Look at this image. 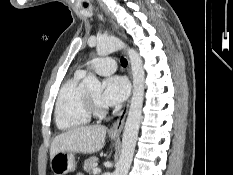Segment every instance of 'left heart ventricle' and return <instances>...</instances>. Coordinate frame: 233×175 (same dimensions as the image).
Returning a JSON list of instances; mask_svg holds the SVG:
<instances>
[{
	"label": "left heart ventricle",
	"mask_w": 233,
	"mask_h": 175,
	"mask_svg": "<svg viewBox=\"0 0 233 175\" xmlns=\"http://www.w3.org/2000/svg\"><path fill=\"white\" fill-rule=\"evenodd\" d=\"M90 96V98H92L94 101L101 103V92L97 91V92H92L88 94Z\"/></svg>",
	"instance_id": "1"
}]
</instances>
